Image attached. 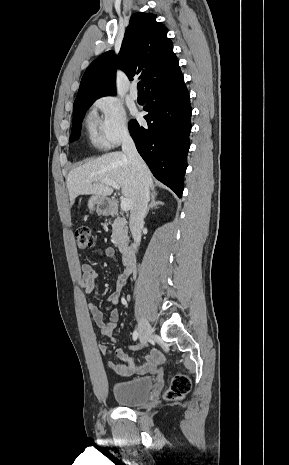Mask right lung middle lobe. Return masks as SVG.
<instances>
[{
	"instance_id": "dd1d6c3e",
	"label": "right lung middle lobe",
	"mask_w": 289,
	"mask_h": 465,
	"mask_svg": "<svg viewBox=\"0 0 289 465\" xmlns=\"http://www.w3.org/2000/svg\"><path fill=\"white\" fill-rule=\"evenodd\" d=\"M95 101L94 100H86L82 102L75 103L73 105V126H72V134L70 136V141L77 140L80 136V125L82 123V119L85 115L86 110L91 106V104Z\"/></svg>"
}]
</instances>
